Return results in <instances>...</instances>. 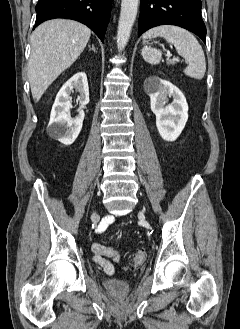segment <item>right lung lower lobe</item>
I'll use <instances>...</instances> for the list:
<instances>
[{"label":"right lung lower lobe","instance_id":"98d812e1","mask_svg":"<svg viewBox=\"0 0 240 329\" xmlns=\"http://www.w3.org/2000/svg\"><path fill=\"white\" fill-rule=\"evenodd\" d=\"M35 27L46 20L66 18L88 26L104 41L111 14V0H39Z\"/></svg>","mask_w":240,"mask_h":329}]
</instances>
